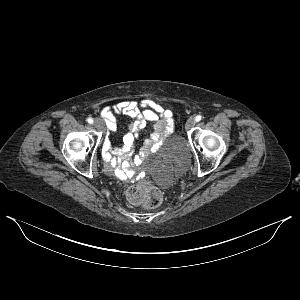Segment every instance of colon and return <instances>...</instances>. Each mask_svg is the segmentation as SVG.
<instances>
[{
    "mask_svg": "<svg viewBox=\"0 0 300 300\" xmlns=\"http://www.w3.org/2000/svg\"><path fill=\"white\" fill-rule=\"evenodd\" d=\"M127 199L137 205L148 209H154L161 205L162 195L160 191L147 181L138 182L127 190Z\"/></svg>",
    "mask_w": 300,
    "mask_h": 300,
    "instance_id": "obj_1",
    "label": "colon"
}]
</instances>
